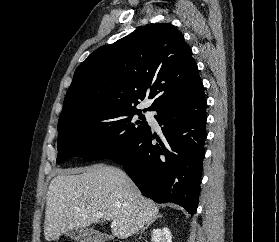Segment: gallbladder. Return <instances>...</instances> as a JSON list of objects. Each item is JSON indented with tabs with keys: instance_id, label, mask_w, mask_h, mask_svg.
Wrapping results in <instances>:
<instances>
[{
	"instance_id": "1",
	"label": "gallbladder",
	"mask_w": 279,
	"mask_h": 242,
	"mask_svg": "<svg viewBox=\"0 0 279 242\" xmlns=\"http://www.w3.org/2000/svg\"><path fill=\"white\" fill-rule=\"evenodd\" d=\"M66 236L77 242H105L109 235L91 228H75L66 232Z\"/></svg>"
}]
</instances>
